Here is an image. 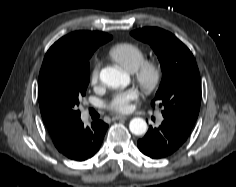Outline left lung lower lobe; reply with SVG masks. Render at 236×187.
Instances as JSON below:
<instances>
[{
  "mask_svg": "<svg viewBox=\"0 0 236 187\" xmlns=\"http://www.w3.org/2000/svg\"><path fill=\"white\" fill-rule=\"evenodd\" d=\"M191 129L173 118L164 117L158 128L149 127L146 135L138 141V148L153 159L167 157L182 146Z\"/></svg>",
  "mask_w": 236,
  "mask_h": 187,
  "instance_id": "obj_1",
  "label": "left lung lower lobe"
}]
</instances>
